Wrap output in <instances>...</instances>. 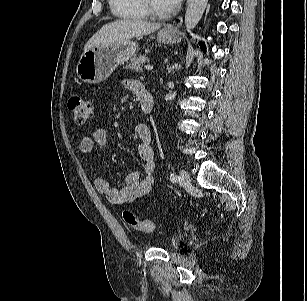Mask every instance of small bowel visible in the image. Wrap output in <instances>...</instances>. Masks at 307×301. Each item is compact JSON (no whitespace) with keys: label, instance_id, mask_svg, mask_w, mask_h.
<instances>
[{"label":"small bowel","instance_id":"small-bowel-1","mask_svg":"<svg viewBox=\"0 0 307 301\" xmlns=\"http://www.w3.org/2000/svg\"><path fill=\"white\" fill-rule=\"evenodd\" d=\"M127 87L138 93L142 85L136 81H128ZM135 136L138 141L137 153L144 162L141 172L130 173L125 177L124 186L116 189L93 170L94 185L97 191L106 196L109 202L116 205L133 203L146 197L154 184L155 156L152 148L151 133L147 125L139 124L135 127ZM108 143L106 132L101 128L91 129L80 141V150L85 154H92L95 146L106 147Z\"/></svg>","mask_w":307,"mask_h":301}]
</instances>
